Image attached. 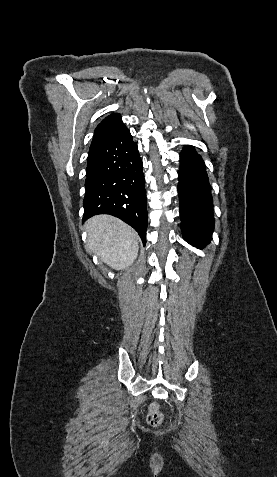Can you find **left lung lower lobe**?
Segmentation results:
<instances>
[{"instance_id": "1", "label": "left lung lower lobe", "mask_w": 277, "mask_h": 477, "mask_svg": "<svg viewBox=\"0 0 277 477\" xmlns=\"http://www.w3.org/2000/svg\"><path fill=\"white\" fill-rule=\"evenodd\" d=\"M178 176L182 234L191 245H204L214 227L212 196L205 164L192 146L181 152Z\"/></svg>"}]
</instances>
